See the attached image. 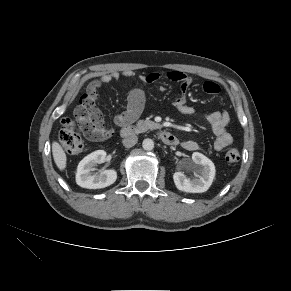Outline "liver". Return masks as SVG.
Listing matches in <instances>:
<instances>
[{"label": "liver", "mask_w": 291, "mask_h": 291, "mask_svg": "<svg viewBox=\"0 0 291 291\" xmlns=\"http://www.w3.org/2000/svg\"><path fill=\"white\" fill-rule=\"evenodd\" d=\"M52 154L57 167L63 171L66 168L67 157L61 145L56 141L52 143Z\"/></svg>", "instance_id": "6515ba94"}]
</instances>
